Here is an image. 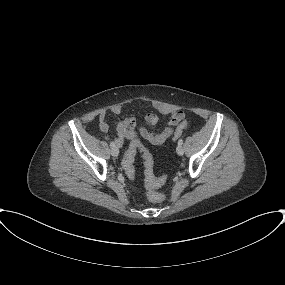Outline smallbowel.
<instances>
[{
  "label": "small bowel",
  "instance_id": "c3829d8e",
  "mask_svg": "<svg viewBox=\"0 0 285 285\" xmlns=\"http://www.w3.org/2000/svg\"><path fill=\"white\" fill-rule=\"evenodd\" d=\"M122 111V104L113 105L111 108V112L115 115L121 114ZM144 119L149 127H154L158 123V116L151 112L145 113ZM183 119L184 113L182 111H176L170 116L167 125L162 130L153 132L147 127H141L137 130L135 118L128 117L114 124L116 129L114 141L119 147H122L126 141L138 143L140 139L146 140L153 145H162L175 132L180 123L183 122ZM108 128L109 123L107 116L106 113L103 112L99 115V129L101 131H107ZM147 187L151 188L150 185H147Z\"/></svg>",
  "mask_w": 285,
  "mask_h": 285
}]
</instances>
